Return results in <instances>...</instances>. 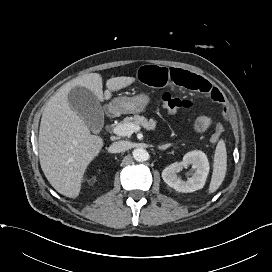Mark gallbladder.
Masks as SVG:
<instances>
[{
	"label": "gallbladder",
	"instance_id": "obj_1",
	"mask_svg": "<svg viewBox=\"0 0 272 272\" xmlns=\"http://www.w3.org/2000/svg\"><path fill=\"white\" fill-rule=\"evenodd\" d=\"M70 108L76 112L87 126L99 132L103 126L104 114L97 97L89 89L76 86L68 94Z\"/></svg>",
	"mask_w": 272,
	"mask_h": 272
}]
</instances>
